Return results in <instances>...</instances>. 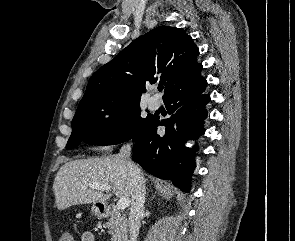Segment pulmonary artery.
<instances>
[{
    "label": "pulmonary artery",
    "instance_id": "e3ab8cb5",
    "mask_svg": "<svg viewBox=\"0 0 295 241\" xmlns=\"http://www.w3.org/2000/svg\"><path fill=\"white\" fill-rule=\"evenodd\" d=\"M148 104H149V107L151 108V109H157L158 107H159V101H158V99L156 98V97H151L150 99H149V102H148Z\"/></svg>",
    "mask_w": 295,
    "mask_h": 241
}]
</instances>
